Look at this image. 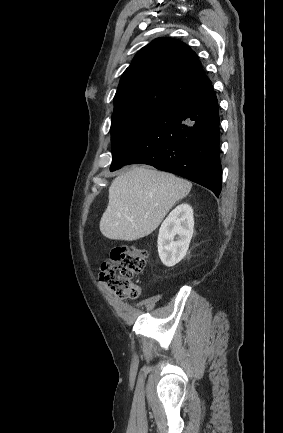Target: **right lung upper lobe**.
<instances>
[{
  "label": "right lung upper lobe",
  "instance_id": "cb5924a9",
  "mask_svg": "<svg viewBox=\"0 0 283 433\" xmlns=\"http://www.w3.org/2000/svg\"><path fill=\"white\" fill-rule=\"evenodd\" d=\"M211 86L196 54L183 42L158 38L142 48L123 73L114 109L165 110Z\"/></svg>",
  "mask_w": 283,
  "mask_h": 433
}]
</instances>
